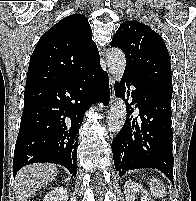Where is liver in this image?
Listing matches in <instances>:
<instances>
[{
  "label": "liver",
  "mask_w": 196,
  "mask_h": 201,
  "mask_svg": "<svg viewBox=\"0 0 196 201\" xmlns=\"http://www.w3.org/2000/svg\"><path fill=\"white\" fill-rule=\"evenodd\" d=\"M57 168L53 164L35 163L23 167L15 177L17 201H27L32 194L55 180Z\"/></svg>",
  "instance_id": "liver-1"
}]
</instances>
